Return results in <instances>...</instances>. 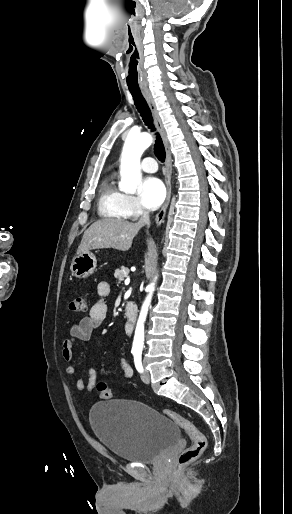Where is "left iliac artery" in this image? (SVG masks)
<instances>
[{"mask_svg":"<svg viewBox=\"0 0 292 514\" xmlns=\"http://www.w3.org/2000/svg\"><path fill=\"white\" fill-rule=\"evenodd\" d=\"M134 355V364L138 372H143V366H142V359H141V353L135 352Z\"/></svg>","mask_w":292,"mask_h":514,"instance_id":"1","label":"left iliac artery"}]
</instances>
